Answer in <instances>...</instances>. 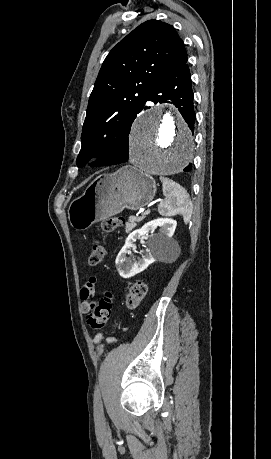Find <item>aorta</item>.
Listing matches in <instances>:
<instances>
[{
	"label": "aorta",
	"instance_id": "obj_1",
	"mask_svg": "<svg viewBox=\"0 0 271 459\" xmlns=\"http://www.w3.org/2000/svg\"><path fill=\"white\" fill-rule=\"evenodd\" d=\"M194 141L183 120L170 110L154 108L135 123L130 160L145 174L171 175L192 161Z\"/></svg>",
	"mask_w": 271,
	"mask_h": 459
}]
</instances>
